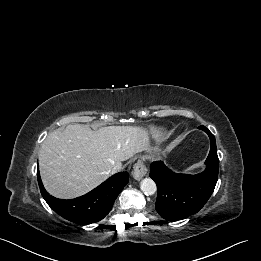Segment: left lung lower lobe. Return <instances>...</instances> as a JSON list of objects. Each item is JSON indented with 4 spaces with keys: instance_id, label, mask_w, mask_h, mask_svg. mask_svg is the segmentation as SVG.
I'll use <instances>...</instances> for the list:
<instances>
[{
    "instance_id": "1",
    "label": "left lung lower lobe",
    "mask_w": 261,
    "mask_h": 261,
    "mask_svg": "<svg viewBox=\"0 0 261 261\" xmlns=\"http://www.w3.org/2000/svg\"><path fill=\"white\" fill-rule=\"evenodd\" d=\"M210 137L211 149L205 161L206 169L196 175L177 174L163 162L156 161L150 166L149 176L155 181L158 196L157 212L167 220H177L197 213L214 191L219 169V159L214 135L204 126Z\"/></svg>"
}]
</instances>
